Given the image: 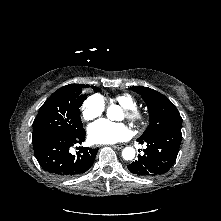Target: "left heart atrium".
I'll return each instance as SVG.
<instances>
[{
  "label": "left heart atrium",
  "instance_id": "left-heart-atrium-1",
  "mask_svg": "<svg viewBox=\"0 0 221 221\" xmlns=\"http://www.w3.org/2000/svg\"><path fill=\"white\" fill-rule=\"evenodd\" d=\"M129 129L122 123L100 120L88 128V138L94 144H114L129 137Z\"/></svg>",
  "mask_w": 221,
  "mask_h": 221
}]
</instances>
